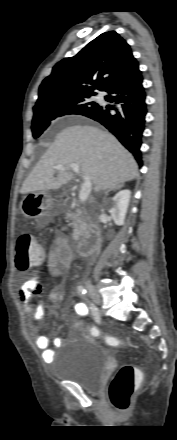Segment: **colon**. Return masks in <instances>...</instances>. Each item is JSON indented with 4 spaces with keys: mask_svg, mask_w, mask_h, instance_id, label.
<instances>
[{
    "mask_svg": "<svg viewBox=\"0 0 177 440\" xmlns=\"http://www.w3.org/2000/svg\"><path fill=\"white\" fill-rule=\"evenodd\" d=\"M46 257L44 249L35 241L31 234L21 235L16 243V269L20 272L38 266ZM91 334L100 336L96 327L90 329ZM105 339L110 345L118 346L123 340L114 335H106ZM139 384V376L136 367L123 365L110 382L108 398L117 409H126L130 405L131 396Z\"/></svg>",
    "mask_w": 177,
    "mask_h": 440,
    "instance_id": "5ec220e1",
    "label": "colon"
}]
</instances>
